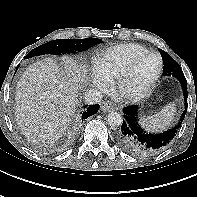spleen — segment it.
I'll return each mask as SVG.
<instances>
[{
  "label": "spleen",
  "mask_w": 197,
  "mask_h": 197,
  "mask_svg": "<svg viewBox=\"0 0 197 197\" xmlns=\"http://www.w3.org/2000/svg\"><path fill=\"white\" fill-rule=\"evenodd\" d=\"M176 112L174 103L164 106L158 113L140 119L142 127L149 132H162L173 121Z\"/></svg>",
  "instance_id": "spleen-1"
}]
</instances>
